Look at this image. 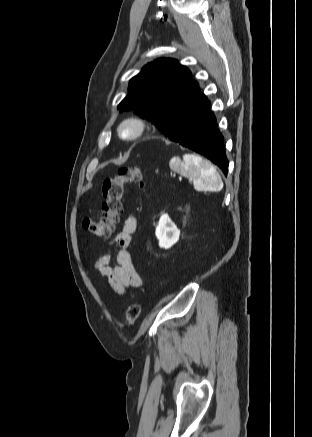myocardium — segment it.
Segmentation results:
<instances>
[{"label":"myocardium","mask_w":312,"mask_h":437,"mask_svg":"<svg viewBox=\"0 0 312 437\" xmlns=\"http://www.w3.org/2000/svg\"><path fill=\"white\" fill-rule=\"evenodd\" d=\"M146 130V121L140 116H128L118 126V134L123 140H136Z\"/></svg>","instance_id":"1"}]
</instances>
